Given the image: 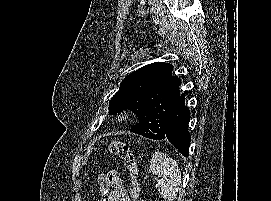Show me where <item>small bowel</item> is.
Returning a JSON list of instances; mask_svg holds the SVG:
<instances>
[{"instance_id": "obj_1", "label": "small bowel", "mask_w": 271, "mask_h": 201, "mask_svg": "<svg viewBox=\"0 0 271 201\" xmlns=\"http://www.w3.org/2000/svg\"><path fill=\"white\" fill-rule=\"evenodd\" d=\"M98 185L103 201H131L120 175L116 171L102 173Z\"/></svg>"}]
</instances>
